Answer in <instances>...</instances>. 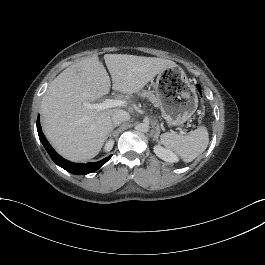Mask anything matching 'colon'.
Wrapping results in <instances>:
<instances>
[{
	"label": "colon",
	"mask_w": 265,
	"mask_h": 265,
	"mask_svg": "<svg viewBox=\"0 0 265 265\" xmlns=\"http://www.w3.org/2000/svg\"><path fill=\"white\" fill-rule=\"evenodd\" d=\"M197 90L198 92L201 94V88L199 86H197ZM203 116V112H201V117Z\"/></svg>",
	"instance_id": "obj_1"
}]
</instances>
